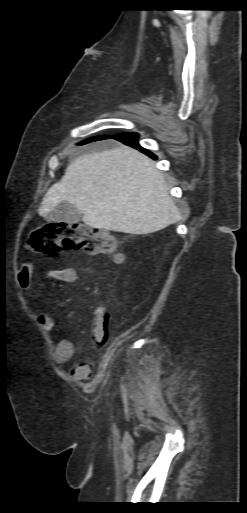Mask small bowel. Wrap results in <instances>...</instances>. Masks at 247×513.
Masks as SVG:
<instances>
[{"instance_id":"c3829d8e","label":"small bowel","mask_w":247,"mask_h":513,"mask_svg":"<svg viewBox=\"0 0 247 513\" xmlns=\"http://www.w3.org/2000/svg\"><path fill=\"white\" fill-rule=\"evenodd\" d=\"M32 277L33 266L29 263L23 264L19 269L18 273V281L20 287L23 290L26 291L29 289ZM77 279L78 274L76 270L73 268H63L55 270L45 277V281L49 283H74L77 281ZM37 321L46 333L51 334L53 332L55 328V321L51 315L47 313H38ZM53 355L55 361L59 364H64L68 362L74 355V345L72 341L68 339H61L55 342L53 345ZM90 373V366L85 362H81L72 370V377L73 379L79 381L85 380L90 376Z\"/></svg>"}]
</instances>
